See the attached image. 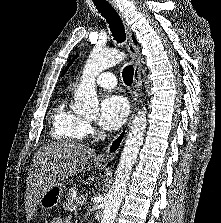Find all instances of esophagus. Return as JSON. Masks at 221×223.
Masks as SVG:
<instances>
[{
	"instance_id": "1",
	"label": "esophagus",
	"mask_w": 221,
	"mask_h": 223,
	"mask_svg": "<svg viewBox=\"0 0 221 223\" xmlns=\"http://www.w3.org/2000/svg\"><path fill=\"white\" fill-rule=\"evenodd\" d=\"M108 2L113 6V8L119 14L125 28L126 32L125 45L134 65V75H133L134 86H133V99L131 103L129 117L125 122L124 126L122 127L121 131L112 139L107 149L104 152L98 154V156L96 157V162L100 164H108L114 159L116 154L119 152L124 142V139L127 135L129 127L131 125L132 119L139 106L141 99V89H142L140 54L138 48L133 43L130 26L128 25L123 13L119 10L114 0H108Z\"/></svg>"
}]
</instances>
